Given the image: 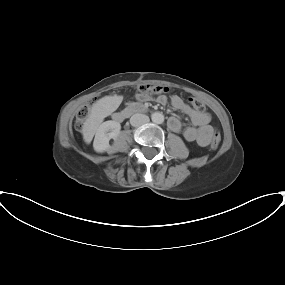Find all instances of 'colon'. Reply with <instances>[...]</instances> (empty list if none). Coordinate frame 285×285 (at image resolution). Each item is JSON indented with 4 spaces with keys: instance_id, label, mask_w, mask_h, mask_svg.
Wrapping results in <instances>:
<instances>
[{
    "instance_id": "1",
    "label": "colon",
    "mask_w": 285,
    "mask_h": 285,
    "mask_svg": "<svg viewBox=\"0 0 285 285\" xmlns=\"http://www.w3.org/2000/svg\"><path fill=\"white\" fill-rule=\"evenodd\" d=\"M137 91L140 95L143 96H150V95H159L166 93L168 91V88L161 85H151L147 83L140 84L137 87ZM190 104L198 109V110H204L205 105L202 100L192 97L189 99ZM89 114V108L88 106H84L79 110L76 116L75 125L78 129H81L85 119L87 118ZM221 140V134L220 130L217 127H212V138H211V148L216 149L220 143Z\"/></svg>"
}]
</instances>
